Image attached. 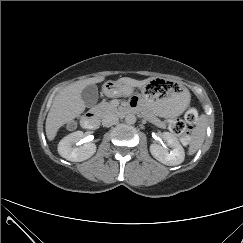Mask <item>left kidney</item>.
Listing matches in <instances>:
<instances>
[{"label": "left kidney", "instance_id": "5707ae66", "mask_svg": "<svg viewBox=\"0 0 243 243\" xmlns=\"http://www.w3.org/2000/svg\"><path fill=\"white\" fill-rule=\"evenodd\" d=\"M162 138L167 143V146L172 148V151L169 152L166 147L161 145L151 144L150 152L152 156L159 162L168 166L181 164L184 161L185 152L177 137L172 133L164 132Z\"/></svg>", "mask_w": 243, "mask_h": 243}]
</instances>
